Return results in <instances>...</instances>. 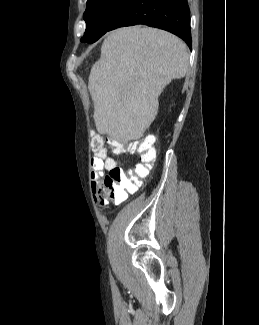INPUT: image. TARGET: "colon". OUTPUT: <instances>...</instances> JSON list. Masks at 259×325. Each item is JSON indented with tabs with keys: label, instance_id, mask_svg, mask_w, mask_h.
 Instances as JSON below:
<instances>
[{
	"label": "colon",
	"instance_id": "5ec220e1",
	"mask_svg": "<svg viewBox=\"0 0 259 325\" xmlns=\"http://www.w3.org/2000/svg\"><path fill=\"white\" fill-rule=\"evenodd\" d=\"M106 141L109 142L114 153L120 154L129 151L137 153L141 159L139 164L127 171L119 166H113L102 181L99 196L107 203L109 201L121 203L126 199L128 193L136 192L146 180L156 159V141L152 135L130 143L105 139L101 135H93L90 146L95 156L99 159H104L107 155Z\"/></svg>",
	"mask_w": 259,
	"mask_h": 325
}]
</instances>
